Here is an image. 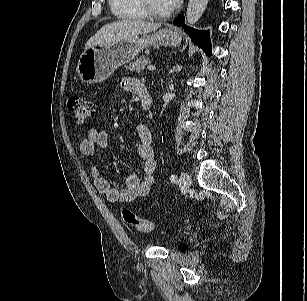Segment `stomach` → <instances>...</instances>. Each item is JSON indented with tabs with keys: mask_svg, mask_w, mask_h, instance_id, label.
<instances>
[{
	"mask_svg": "<svg viewBox=\"0 0 307 301\" xmlns=\"http://www.w3.org/2000/svg\"><path fill=\"white\" fill-rule=\"evenodd\" d=\"M182 40L176 29L164 28L152 35L133 36L111 44L86 49L80 56L76 72L89 84L105 81L120 66L133 60L147 46H176Z\"/></svg>",
	"mask_w": 307,
	"mask_h": 301,
	"instance_id": "1",
	"label": "stomach"
}]
</instances>
